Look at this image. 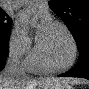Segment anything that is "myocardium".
I'll return each mask as SVG.
<instances>
[{"mask_svg":"<svg viewBox=\"0 0 89 89\" xmlns=\"http://www.w3.org/2000/svg\"><path fill=\"white\" fill-rule=\"evenodd\" d=\"M52 24L62 28L65 33L67 34V36L69 37L71 43H72V48H73V54H72V58L70 60L69 63H67L66 65L63 66H53L51 65L45 58L41 46H40V42L37 39L36 41V53L39 57V59L41 60L42 64L44 65V67L46 68L47 71L50 72H60V71H65L70 69L71 67L74 66V64L77 61V57H78V45L76 42V39L73 35V33L71 32V30L68 28L67 25H65L64 23L60 22V21H53Z\"/></svg>","mask_w":89,"mask_h":89,"instance_id":"obj_1","label":"myocardium"}]
</instances>
